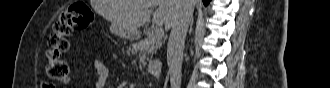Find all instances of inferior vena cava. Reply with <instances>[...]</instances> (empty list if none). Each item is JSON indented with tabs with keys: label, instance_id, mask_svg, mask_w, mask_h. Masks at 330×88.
Segmentation results:
<instances>
[{
	"label": "inferior vena cava",
	"instance_id": "obj_1",
	"mask_svg": "<svg viewBox=\"0 0 330 88\" xmlns=\"http://www.w3.org/2000/svg\"><path fill=\"white\" fill-rule=\"evenodd\" d=\"M179 2L181 5L173 21L167 45V61L171 88H180L181 86L184 42L194 10L192 0H179Z\"/></svg>",
	"mask_w": 330,
	"mask_h": 88
}]
</instances>
